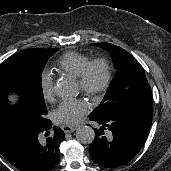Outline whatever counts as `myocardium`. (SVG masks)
Returning <instances> with one entry per match:
<instances>
[{"label":"myocardium","instance_id":"1","mask_svg":"<svg viewBox=\"0 0 171 171\" xmlns=\"http://www.w3.org/2000/svg\"><path fill=\"white\" fill-rule=\"evenodd\" d=\"M100 66L103 70V78L99 84H94L92 81V71L95 67ZM112 80V70L110 63L105 58H96L90 60L83 68L78 77L80 89L86 95L97 97L107 91Z\"/></svg>","mask_w":171,"mask_h":171}]
</instances>
